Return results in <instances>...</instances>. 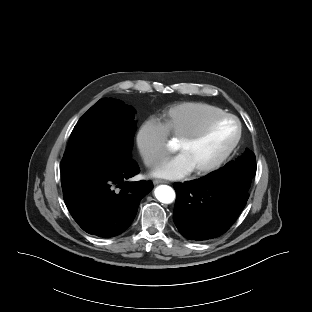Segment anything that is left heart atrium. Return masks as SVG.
Returning <instances> with one entry per match:
<instances>
[{
    "mask_svg": "<svg viewBox=\"0 0 312 312\" xmlns=\"http://www.w3.org/2000/svg\"><path fill=\"white\" fill-rule=\"evenodd\" d=\"M194 169L184 154H178L172 159L161 163L154 171L155 177L166 179H180L191 173Z\"/></svg>",
    "mask_w": 312,
    "mask_h": 312,
    "instance_id": "left-heart-atrium-1",
    "label": "left heart atrium"
}]
</instances>
